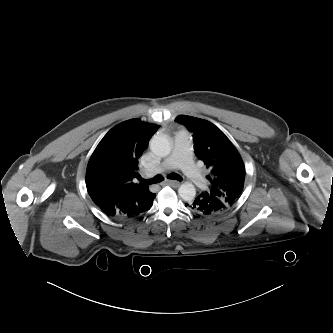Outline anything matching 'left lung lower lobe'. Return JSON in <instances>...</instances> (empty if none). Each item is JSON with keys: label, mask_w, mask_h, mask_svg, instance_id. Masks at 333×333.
<instances>
[{"label": "left lung lower lobe", "mask_w": 333, "mask_h": 333, "mask_svg": "<svg viewBox=\"0 0 333 333\" xmlns=\"http://www.w3.org/2000/svg\"><path fill=\"white\" fill-rule=\"evenodd\" d=\"M186 206H189L193 211L207 216H215L225 211L223 202L215 196L206 193H201L192 201H189Z\"/></svg>", "instance_id": "1"}]
</instances>
